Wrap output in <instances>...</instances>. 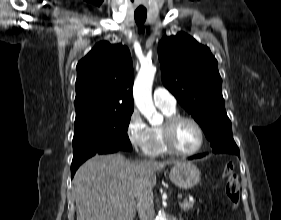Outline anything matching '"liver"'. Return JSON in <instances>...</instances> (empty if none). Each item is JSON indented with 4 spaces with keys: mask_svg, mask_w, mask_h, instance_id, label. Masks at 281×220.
<instances>
[{
    "mask_svg": "<svg viewBox=\"0 0 281 220\" xmlns=\"http://www.w3.org/2000/svg\"><path fill=\"white\" fill-rule=\"evenodd\" d=\"M177 163L130 162L119 153L92 157L81 165L72 182L77 220H134L137 199L153 190L156 171Z\"/></svg>",
    "mask_w": 281,
    "mask_h": 220,
    "instance_id": "1",
    "label": "liver"
}]
</instances>
